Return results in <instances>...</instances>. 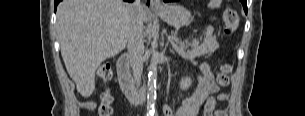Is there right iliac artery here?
<instances>
[{"instance_id": "right-iliac-artery-1", "label": "right iliac artery", "mask_w": 305, "mask_h": 116, "mask_svg": "<svg viewBox=\"0 0 305 116\" xmlns=\"http://www.w3.org/2000/svg\"><path fill=\"white\" fill-rule=\"evenodd\" d=\"M146 116H151L150 114H147Z\"/></svg>"}]
</instances>
